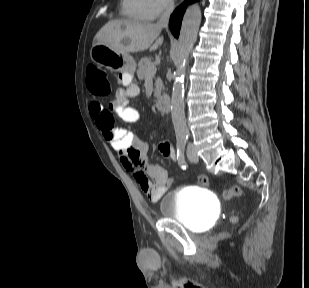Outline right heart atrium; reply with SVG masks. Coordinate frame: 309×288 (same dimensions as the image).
<instances>
[{
    "instance_id": "d8ad5b80",
    "label": "right heart atrium",
    "mask_w": 309,
    "mask_h": 288,
    "mask_svg": "<svg viewBox=\"0 0 309 288\" xmlns=\"http://www.w3.org/2000/svg\"><path fill=\"white\" fill-rule=\"evenodd\" d=\"M146 3L150 9L152 18L165 14L173 5L172 0H146Z\"/></svg>"
}]
</instances>
